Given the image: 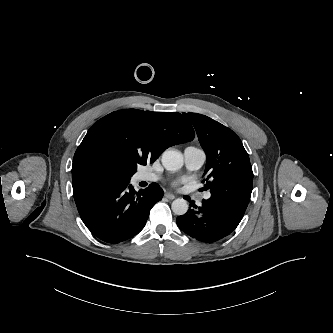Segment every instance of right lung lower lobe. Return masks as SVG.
Instances as JSON below:
<instances>
[{
    "mask_svg": "<svg viewBox=\"0 0 333 333\" xmlns=\"http://www.w3.org/2000/svg\"><path fill=\"white\" fill-rule=\"evenodd\" d=\"M73 196L86 227L99 239L115 244L144 228L163 190L154 184L135 192L129 181L86 175L73 180Z\"/></svg>",
    "mask_w": 333,
    "mask_h": 333,
    "instance_id": "obj_1",
    "label": "right lung lower lobe"
}]
</instances>
